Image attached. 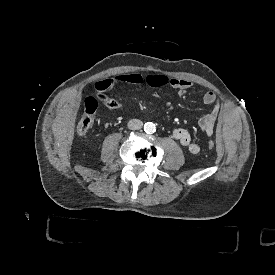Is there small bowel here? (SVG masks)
<instances>
[{
  "label": "small bowel",
  "mask_w": 275,
  "mask_h": 275,
  "mask_svg": "<svg viewBox=\"0 0 275 275\" xmlns=\"http://www.w3.org/2000/svg\"><path fill=\"white\" fill-rule=\"evenodd\" d=\"M141 85L147 84L152 88H160L164 86H171L178 91L180 96L187 93L192 87V82L186 79L170 78L163 73H153L146 77H143L139 73H126L120 74L113 78L101 81L98 84L99 90H107L118 85ZM155 99L159 98V95L155 93ZM202 101L205 105L213 106L212 109L205 114L199 120V128L207 136H212L214 133V126L217 121L220 105L218 98L214 92H206L202 96ZM173 138L176 139L182 146L188 149L192 154H198L200 147L197 143L192 140L191 134L184 128H176L173 131Z\"/></svg>",
  "instance_id": "obj_1"
}]
</instances>
